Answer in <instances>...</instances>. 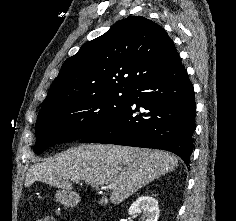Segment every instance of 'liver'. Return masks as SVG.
Returning a JSON list of instances; mask_svg holds the SVG:
<instances>
[{"label": "liver", "mask_w": 236, "mask_h": 221, "mask_svg": "<svg viewBox=\"0 0 236 221\" xmlns=\"http://www.w3.org/2000/svg\"><path fill=\"white\" fill-rule=\"evenodd\" d=\"M178 159L168 152L117 145L87 144L67 149L33 164L25 185L35 181L71 191L72 178L89 184L115 186L112 204H120L153 180L173 171Z\"/></svg>", "instance_id": "obj_1"}]
</instances>
